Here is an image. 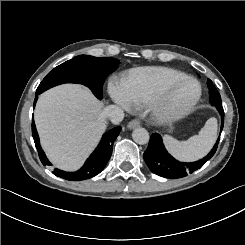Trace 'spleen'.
Masks as SVG:
<instances>
[{
	"mask_svg": "<svg viewBox=\"0 0 245 245\" xmlns=\"http://www.w3.org/2000/svg\"><path fill=\"white\" fill-rule=\"evenodd\" d=\"M217 119L209 118L198 135L186 141H178L171 136L163 140L168 151L179 161L192 162L203 158L212 149L217 140Z\"/></svg>",
	"mask_w": 245,
	"mask_h": 245,
	"instance_id": "3e777b00",
	"label": "spleen"
}]
</instances>
